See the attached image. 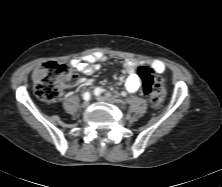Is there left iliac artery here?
<instances>
[{
    "mask_svg": "<svg viewBox=\"0 0 222 187\" xmlns=\"http://www.w3.org/2000/svg\"><path fill=\"white\" fill-rule=\"evenodd\" d=\"M104 91H105L104 89L96 88V89H95V94H96V95H99V94H101V93L104 92ZM108 96H109V94H108Z\"/></svg>",
    "mask_w": 222,
    "mask_h": 187,
    "instance_id": "1",
    "label": "left iliac artery"
}]
</instances>
